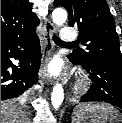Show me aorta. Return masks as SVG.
Instances as JSON below:
<instances>
[{
	"label": "aorta",
	"instance_id": "1",
	"mask_svg": "<svg viewBox=\"0 0 122 123\" xmlns=\"http://www.w3.org/2000/svg\"><path fill=\"white\" fill-rule=\"evenodd\" d=\"M52 19L56 25H62L67 19V12L63 8H56L52 12ZM64 99V90L61 84H56L51 94V103L54 109H58Z\"/></svg>",
	"mask_w": 122,
	"mask_h": 123
}]
</instances>
